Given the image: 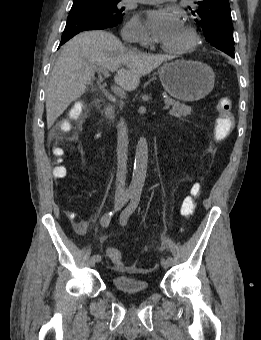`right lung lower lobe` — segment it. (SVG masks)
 Listing matches in <instances>:
<instances>
[{
	"instance_id": "98d812e1",
	"label": "right lung lower lobe",
	"mask_w": 261,
	"mask_h": 340,
	"mask_svg": "<svg viewBox=\"0 0 261 340\" xmlns=\"http://www.w3.org/2000/svg\"><path fill=\"white\" fill-rule=\"evenodd\" d=\"M108 22L87 13H72L67 18V23L62 34L60 45L64 44L74 35L86 30H101L111 28Z\"/></svg>"
}]
</instances>
